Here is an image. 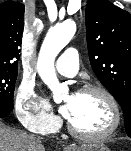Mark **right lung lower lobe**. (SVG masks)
<instances>
[{"label": "right lung lower lobe", "mask_w": 131, "mask_h": 151, "mask_svg": "<svg viewBox=\"0 0 131 151\" xmlns=\"http://www.w3.org/2000/svg\"><path fill=\"white\" fill-rule=\"evenodd\" d=\"M11 113V110L0 109V117H5Z\"/></svg>", "instance_id": "right-lung-lower-lobe-1"}]
</instances>
